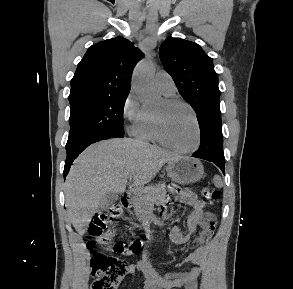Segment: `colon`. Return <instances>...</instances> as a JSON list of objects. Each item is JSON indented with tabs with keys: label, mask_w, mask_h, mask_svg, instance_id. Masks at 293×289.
Instances as JSON below:
<instances>
[{
	"label": "colon",
	"mask_w": 293,
	"mask_h": 289,
	"mask_svg": "<svg viewBox=\"0 0 293 289\" xmlns=\"http://www.w3.org/2000/svg\"><path fill=\"white\" fill-rule=\"evenodd\" d=\"M183 189L178 185L170 188L171 202L162 206L160 215H166L170 205L174 203L177 195ZM203 196L210 202L216 203L219 200V193L208 187L202 189ZM122 213L121 205L116 203L104 212L94 216L89 226V233L96 238L97 242L108 247V253H97L91 260L92 275L94 278L92 289H116L122 277L129 270V266L113 254L120 256H133L141 254L143 241L140 238L128 241H113L114 232L107 230Z\"/></svg>",
	"instance_id": "colon-1"
}]
</instances>
